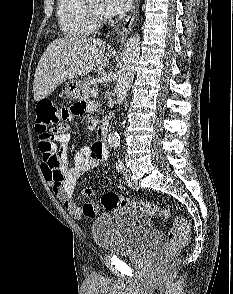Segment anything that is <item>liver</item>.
Wrapping results in <instances>:
<instances>
[{"label": "liver", "instance_id": "6515ba94", "mask_svg": "<svg viewBox=\"0 0 233 294\" xmlns=\"http://www.w3.org/2000/svg\"><path fill=\"white\" fill-rule=\"evenodd\" d=\"M106 45L100 39L64 37L52 41L42 57L34 75L33 92L36 102L48 97L67 79L102 71L109 64Z\"/></svg>", "mask_w": 233, "mask_h": 294}]
</instances>
